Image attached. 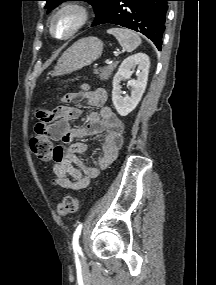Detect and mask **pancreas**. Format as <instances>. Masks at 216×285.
Wrapping results in <instances>:
<instances>
[{
	"label": "pancreas",
	"mask_w": 216,
	"mask_h": 285,
	"mask_svg": "<svg viewBox=\"0 0 216 285\" xmlns=\"http://www.w3.org/2000/svg\"><path fill=\"white\" fill-rule=\"evenodd\" d=\"M117 65H118V62H114L106 67H103L102 69H99V70L95 69L94 74H96L100 80L106 81L111 77V74L114 71V69L117 67Z\"/></svg>",
	"instance_id": "obj_1"
}]
</instances>
